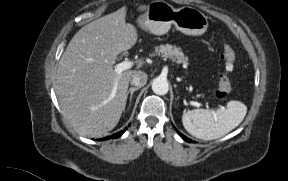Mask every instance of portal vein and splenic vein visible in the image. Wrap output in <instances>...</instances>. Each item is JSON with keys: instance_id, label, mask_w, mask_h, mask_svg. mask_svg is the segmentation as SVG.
Here are the masks:
<instances>
[{"instance_id": "portal-vein-and-splenic-vein-1", "label": "portal vein and splenic vein", "mask_w": 288, "mask_h": 181, "mask_svg": "<svg viewBox=\"0 0 288 181\" xmlns=\"http://www.w3.org/2000/svg\"><path fill=\"white\" fill-rule=\"evenodd\" d=\"M132 66H133V61L125 60V61H122L121 63L116 64L114 71L117 74H121L123 71L130 69ZM191 104L196 107L201 106V104L197 102H191Z\"/></svg>"}]
</instances>
